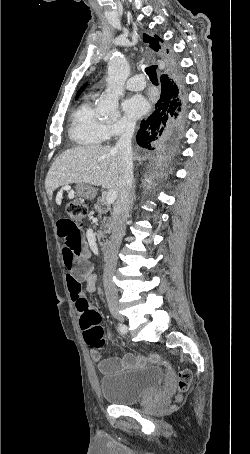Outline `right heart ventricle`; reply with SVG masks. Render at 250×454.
Wrapping results in <instances>:
<instances>
[{"label": "right heart ventricle", "instance_id": "right-heart-ventricle-1", "mask_svg": "<svg viewBox=\"0 0 250 454\" xmlns=\"http://www.w3.org/2000/svg\"><path fill=\"white\" fill-rule=\"evenodd\" d=\"M107 124L96 114L93 98L84 101L73 113L69 138L80 147H96L109 139Z\"/></svg>", "mask_w": 250, "mask_h": 454}]
</instances>
